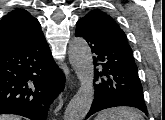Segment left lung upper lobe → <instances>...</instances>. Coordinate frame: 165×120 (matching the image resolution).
<instances>
[{
  "mask_svg": "<svg viewBox=\"0 0 165 120\" xmlns=\"http://www.w3.org/2000/svg\"><path fill=\"white\" fill-rule=\"evenodd\" d=\"M92 26L104 36L131 50L124 31L115 23L113 18L100 10H92L85 17ZM132 51V50H131Z\"/></svg>",
  "mask_w": 165,
  "mask_h": 120,
  "instance_id": "5c2ea615",
  "label": "left lung upper lobe"
}]
</instances>
